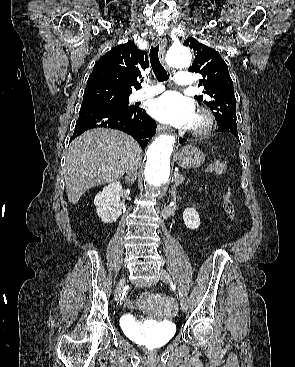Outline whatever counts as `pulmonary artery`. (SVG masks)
Listing matches in <instances>:
<instances>
[{
  "label": "pulmonary artery",
  "mask_w": 295,
  "mask_h": 367,
  "mask_svg": "<svg viewBox=\"0 0 295 367\" xmlns=\"http://www.w3.org/2000/svg\"><path fill=\"white\" fill-rule=\"evenodd\" d=\"M175 81L180 86H191L193 84V78L188 71H179L175 76ZM164 90L163 85L147 86L142 90L136 92L133 99L136 101L151 98Z\"/></svg>",
  "instance_id": "e3ab8cb5"
}]
</instances>
